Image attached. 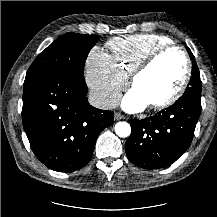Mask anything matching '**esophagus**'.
I'll return each mask as SVG.
<instances>
[{
    "label": "esophagus",
    "mask_w": 217,
    "mask_h": 217,
    "mask_svg": "<svg viewBox=\"0 0 217 217\" xmlns=\"http://www.w3.org/2000/svg\"><path fill=\"white\" fill-rule=\"evenodd\" d=\"M114 119L115 120H122V119H125V116L124 115H122L121 113H115V115H114Z\"/></svg>",
    "instance_id": "34e87169"
}]
</instances>
